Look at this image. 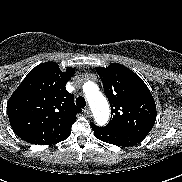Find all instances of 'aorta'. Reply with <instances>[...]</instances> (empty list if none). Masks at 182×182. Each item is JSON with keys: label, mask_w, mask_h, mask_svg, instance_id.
<instances>
[{"label": "aorta", "mask_w": 182, "mask_h": 182, "mask_svg": "<svg viewBox=\"0 0 182 182\" xmlns=\"http://www.w3.org/2000/svg\"><path fill=\"white\" fill-rule=\"evenodd\" d=\"M87 101L92 109L95 122L99 126L105 125L109 120L110 110L105 96L99 92L93 82L84 85Z\"/></svg>", "instance_id": "1"}]
</instances>
